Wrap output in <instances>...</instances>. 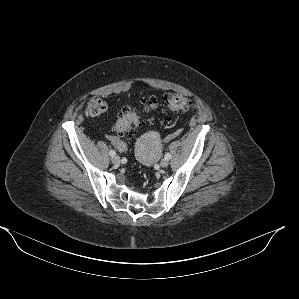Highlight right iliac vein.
Masks as SVG:
<instances>
[{
  "mask_svg": "<svg viewBox=\"0 0 299 299\" xmlns=\"http://www.w3.org/2000/svg\"><path fill=\"white\" fill-rule=\"evenodd\" d=\"M111 161H112L113 164H115V165H119V164H120V157L117 156V155H115V156H113V157L111 158Z\"/></svg>",
  "mask_w": 299,
  "mask_h": 299,
  "instance_id": "obj_1",
  "label": "right iliac vein"
}]
</instances>
